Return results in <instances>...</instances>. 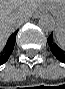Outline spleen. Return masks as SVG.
Wrapping results in <instances>:
<instances>
[{
    "label": "spleen",
    "instance_id": "1",
    "mask_svg": "<svg viewBox=\"0 0 65 89\" xmlns=\"http://www.w3.org/2000/svg\"><path fill=\"white\" fill-rule=\"evenodd\" d=\"M55 37L58 45L61 49H65V31L63 28L59 27L55 32Z\"/></svg>",
    "mask_w": 65,
    "mask_h": 89
}]
</instances>
